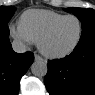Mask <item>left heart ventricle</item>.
I'll return each mask as SVG.
<instances>
[{
	"instance_id": "b2bd125f",
	"label": "left heart ventricle",
	"mask_w": 95,
	"mask_h": 95,
	"mask_svg": "<svg viewBox=\"0 0 95 95\" xmlns=\"http://www.w3.org/2000/svg\"><path fill=\"white\" fill-rule=\"evenodd\" d=\"M79 34V23L74 18L63 21L45 41V48L51 52H62L69 49Z\"/></svg>"
}]
</instances>
